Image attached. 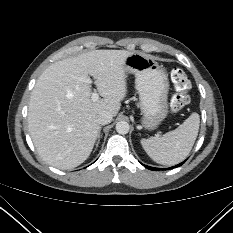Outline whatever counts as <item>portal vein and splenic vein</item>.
Wrapping results in <instances>:
<instances>
[{
  "instance_id": "obj_1",
  "label": "portal vein and splenic vein",
  "mask_w": 233,
  "mask_h": 233,
  "mask_svg": "<svg viewBox=\"0 0 233 233\" xmlns=\"http://www.w3.org/2000/svg\"><path fill=\"white\" fill-rule=\"evenodd\" d=\"M87 82L88 83H92V81L90 80V79H87ZM91 99H92V101H98V99H99V94L97 93V92H93L92 93V96H91Z\"/></svg>"
}]
</instances>
